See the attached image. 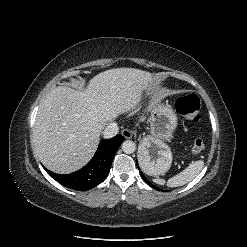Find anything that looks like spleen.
Returning <instances> with one entry per match:
<instances>
[{
  "label": "spleen",
  "instance_id": "3e777b00",
  "mask_svg": "<svg viewBox=\"0 0 247 247\" xmlns=\"http://www.w3.org/2000/svg\"><path fill=\"white\" fill-rule=\"evenodd\" d=\"M203 166H204V162L202 160L193 162L182 172L171 177L167 181V185L169 187H177L187 184L188 182L192 181L201 172ZM154 182L160 185L165 184V180L159 178L155 179Z\"/></svg>",
  "mask_w": 247,
  "mask_h": 247
}]
</instances>
